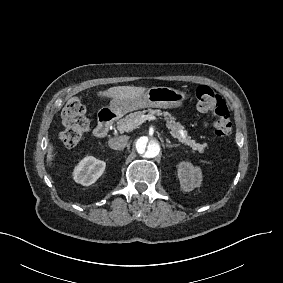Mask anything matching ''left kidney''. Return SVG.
<instances>
[{"label": "left kidney", "mask_w": 283, "mask_h": 283, "mask_svg": "<svg viewBox=\"0 0 283 283\" xmlns=\"http://www.w3.org/2000/svg\"><path fill=\"white\" fill-rule=\"evenodd\" d=\"M177 168L180 186L183 191L190 192L201 186L202 171L200 167H195L190 162L182 161Z\"/></svg>", "instance_id": "5707ae66"}]
</instances>
